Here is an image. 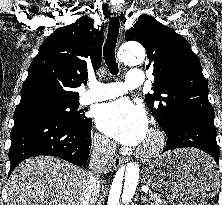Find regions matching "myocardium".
I'll list each match as a JSON object with an SVG mask.
<instances>
[{
  "label": "myocardium",
  "instance_id": "1",
  "mask_svg": "<svg viewBox=\"0 0 222 205\" xmlns=\"http://www.w3.org/2000/svg\"><path fill=\"white\" fill-rule=\"evenodd\" d=\"M148 143L142 144L138 149V154L144 158L156 156L166 143V136L159 127H152L149 131Z\"/></svg>",
  "mask_w": 222,
  "mask_h": 205
}]
</instances>
